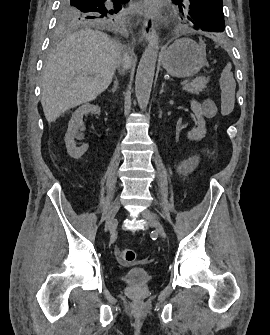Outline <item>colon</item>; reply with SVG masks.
<instances>
[{
	"instance_id": "1",
	"label": "colon",
	"mask_w": 270,
	"mask_h": 335,
	"mask_svg": "<svg viewBox=\"0 0 270 335\" xmlns=\"http://www.w3.org/2000/svg\"><path fill=\"white\" fill-rule=\"evenodd\" d=\"M226 68H231V63H226ZM220 79H222V90L219 98V109H223V116H232V109H236V102H234L235 95V79L232 72H220ZM118 259L123 263H131L135 257V251L129 248H120L117 251Z\"/></svg>"
}]
</instances>
